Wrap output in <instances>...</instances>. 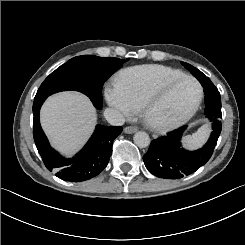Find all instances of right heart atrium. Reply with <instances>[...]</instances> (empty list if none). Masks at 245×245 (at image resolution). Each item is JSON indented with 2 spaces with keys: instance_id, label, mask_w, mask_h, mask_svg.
<instances>
[{
  "instance_id": "1",
  "label": "right heart atrium",
  "mask_w": 245,
  "mask_h": 245,
  "mask_svg": "<svg viewBox=\"0 0 245 245\" xmlns=\"http://www.w3.org/2000/svg\"><path fill=\"white\" fill-rule=\"evenodd\" d=\"M106 97L108 103L117 108L124 116H132L134 107L120 92L115 89H109L107 91Z\"/></svg>"
}]
</instances>
